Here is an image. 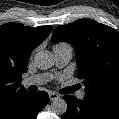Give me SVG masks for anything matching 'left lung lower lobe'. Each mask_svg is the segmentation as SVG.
Instances as JSON below:
<instances>
[{
  "label": "left lung lower lobe",
  "instance_id": "left-lung-lower-lobe-1",
  "mask_svg": "<svg viewBox=\"0 0 119 119\" xmlns=\"http://www.w3.org/2000/svg\"><path fill=\"white\" fill-rule=\"evenodd\" d=\"M67 111L61 119H119V102L85 94L83 100L72 95L64 97Z\"/></svg>",
  "mask_w": 119,
  "mask_h": 119
}]
</instances>
